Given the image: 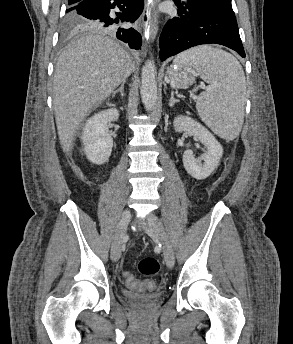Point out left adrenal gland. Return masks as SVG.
<instances>
[{
	"instance_id": "a2214340",
	"label": "left adrenal gland",
	"mask_w": 293,
	"mask_h": 344,
	"mask_svg": "<svg viewBox=\"0 0 293 344\" xmlns=\"http://www.w3.org/2000/svg\"><path fill=\"white\" fill-rule=\"evenodd\" d=\"M179 100L174 98V92H171V98L169 100V106L173 107L175 103H178Z\"/></svg>"
}]
</instances>
